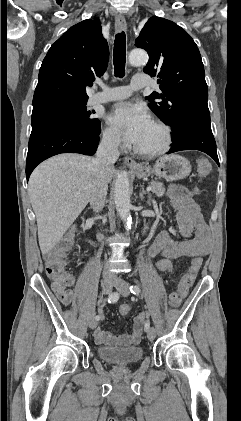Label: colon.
<instances>
[{"instance_id":"1","label":"colon","mask_w":241,"mask_h":421,"mask_svg":"<svg viewBox=\"0 0 241 421\" xmlns=\"http://www.w3.org/2000/svg\"><path fill=\"white\" fill-rule=\"evenodd\" d=\"M197 172L201 178H205L210 174L211 164L208 159L200 157L197 160ZM74 238L75 232L72 231L66 236L61 246L49 250L44 255L46 274L53 281V286L55 288L66 286L73 282L72 276L67 272L66 250L72 246ZM201 266V257L192 259L189 270L179 282L176 293L180 298H184L188 294L197 278ZM154 267L159 273H173L175 270L173 262L167 258L156 261ZM130 311L131 307L128 304H123L120 307L122 316H127Z\"/></svg>"}]
</instances>
